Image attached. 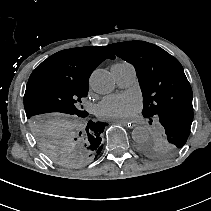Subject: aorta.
Here are the masks:
<instances>
[{"label": "aorta", "instance_id": "obj_1", "mask_svg": "<svg viewBox=\"0 0 211 211\" xmlns=\"http://www.w3.org/2000/svg\"><path fill=\"white\" fill-rule=\"evenodd\" d=\"M90 86L94 92L107 94L113 91L115 82L111 74L104 69H96L90 77ZM132 138L140 143L149 138L148 130L143 126H137L132 131Z\"/></svg>", "mask_w": 211, "mask_h": 211}]
</instances>
